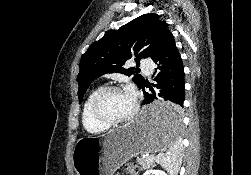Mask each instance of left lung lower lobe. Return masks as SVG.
<instances>
[{
    "instance_id": "0a47b994",
    "label": "left lung lower lobe",
    "mask_w": 251,
    "mask_h": 175,
    "mask_svg": "<svg viewBox=\"0 0 251 175\" xmlns=\"http://www.w3.org/2000/svg\"><path fill=\"white\" fill-rule=\"evenodd\" d=\"M158 65L153 73L155 83L149 87L151 92H145L143 104L154 101L168 103L153 107L142 115V121L150 125H173L183 118L184 102V67L174 37L170 32L161 49L152 57Z\"/></svg>"
}]
</instances>
